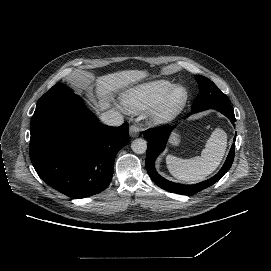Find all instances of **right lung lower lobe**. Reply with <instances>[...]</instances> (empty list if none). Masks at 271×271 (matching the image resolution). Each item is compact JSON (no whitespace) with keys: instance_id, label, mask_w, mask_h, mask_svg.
I'll use <instances>...</instances> for the list:
<instances>
[{"instance_id":"obj_1","label":"right lung lower lobe","mask_w":271,"mask_h":271,"mask_svg":"<svg viewBox=\"0 0 271 271\" xmlns=\"http://www.w3.org/2000/svg\"><path fill=\"white\" fill-rule=\"evenodd\" d=\"M30 158L40 178L71 198L108 187L114 159L128 141V123L100 125L79 96L37 104L30 123Z\"/></svg>"}]
</instances>
